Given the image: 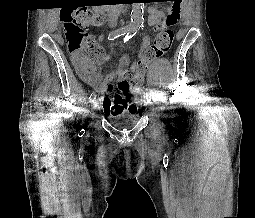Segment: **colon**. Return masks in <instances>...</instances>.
<instances>
[{
	"instance_id": "colon-1",
	"label": "colon",
	"mask_w": 255,
	"mask_h": 218,
	"mask_svg": "<svg viewBox=\"0 0 255 218\" xmlns=\"http://www.w3.org/2000/svg\"><path fill=\"white\" fill-rule=\"evenodd\" d=\"M164 1H171L173 6V11L166 17V27L160 29L153 44L147 48L144 57L138 62L137 71L131 75L129 81L119 84L112 97L109 94L105 95L103 104L108 114L136 111L133 94L139 93L149 62L161 57L172 45L174 33L168 27L175 25L179 18L178 4L180 0ZM60 17L64 24L67 47L75 69L82 79L89 81L90 74L86 68L82 50L92 47L89 30L99 24L100 18L85 7L64 9ZM111 89V85H107V91L109 92Z\"/></svg>"
}]
</instances>
